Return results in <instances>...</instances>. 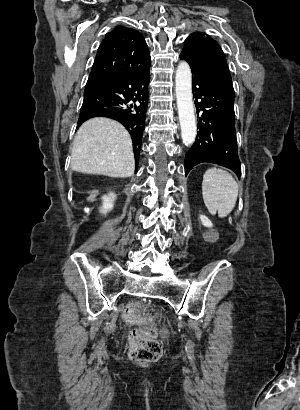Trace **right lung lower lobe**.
I'll return each mask as SVG.
<instances>
[{
	"instance_id": "right-lung-lower-lobe-1",
	"label": "right lung lower lobe",
	"mask_w": 300,
	"mask_h": 410,
	"mask_svg": "<svg viewBox=\"0 0 300 410\" xmlns=\"http://www.w3.org/2000/svg\"><path fill=\"white\" fill-rule=\"evenodd\" d=\"M150 65L130 70L85 88L77 127L86 120L102 116L119 121L129 131L133 150L140 146L148 105ZM135 155V153H134ZM139 154L135 156L136 165Z\"/></svg>"
}]
</instances>
